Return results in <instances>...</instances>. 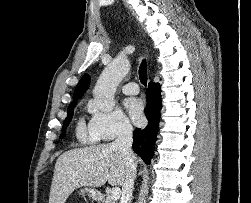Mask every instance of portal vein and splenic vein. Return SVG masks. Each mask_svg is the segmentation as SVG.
Segmentation results:
<instances>
[{
  "label": "portal vein and splenic vein",
  "instance_id": "obj_1",
  "mask_svg": "<svg viewBox=\"0 0 251 203\" xmlns=\"http://www.w3.org/2000/svg\"><path fill=\"white\" fill-rule=\"evenodd\" d=\"M120 194H121L120 188L115 187L108 193V197L114 200H118L120 198Z\"/></svg>",
  "mask_w": 251,
  "mask_h": 203
}]
</instances>
